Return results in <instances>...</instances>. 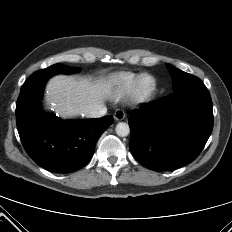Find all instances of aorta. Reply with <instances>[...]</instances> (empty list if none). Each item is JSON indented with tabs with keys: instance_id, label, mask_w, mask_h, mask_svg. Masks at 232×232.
Here are the masks:
<instances>
[{
	"instance_id": "aorta-1",
	"label": "aorta",
	"mask_w": 232,
	"mask_h": 232,
	"mask_svg": "<svg viewBox=\"0 0 232 232\" xmlns=\"http://www.w3.org/2000/svg\"><path fill=\"white\" fill-rule=\"evenodd\" d=\"M116 134L120 137H125L128 136V134L130 133V128L129 125L125 122H119L116 125Z\"/></svg>"
}]
</instances>
